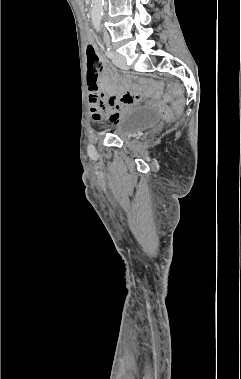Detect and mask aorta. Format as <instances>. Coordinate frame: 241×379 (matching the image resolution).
Instances as JSON below:
<instances>
[{
    "label": "aorta",
    "instance_id": "obj_1",
    "mask_svg": "<svg viewBox=\"0 0 241 379\" xmlns=\"http://www.w3.org/2000/svg\"><path fill=\"white\" fill-rule=\"evenodd\" d=\"M103 1L104 0H92L91 19L93 26L96 29L100 28L101 18L103 14Z\"/></svg>",
    "mask_w": 241,
    "mask_h": 379
}]
</instances>
